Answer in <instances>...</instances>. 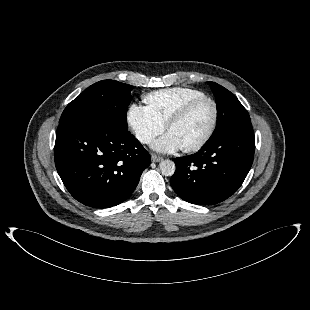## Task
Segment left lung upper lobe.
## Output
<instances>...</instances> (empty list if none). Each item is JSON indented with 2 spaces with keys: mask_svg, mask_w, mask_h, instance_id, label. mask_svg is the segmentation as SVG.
Returning <instances> with one entry per match:
<instances>
[{
  "mask_svg": "<svg viewBox=\"0 0 310 310\" xmlns=\"http://www.w3.org/2000/svg\"><path fill=\"white\" fill-rule=\"evenodd\" d=\"M209 84L217 104V126L209 141L251 124L247 110L234 94L215 82Z\"/></svg>",
  "mask_w": 310,
  "mask_h": 310,
  "instance_id": "obj_1",
  "label": "left lung upper lobe"
}]
</instances>
